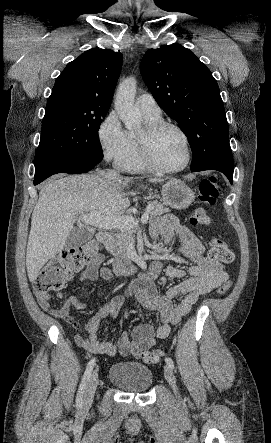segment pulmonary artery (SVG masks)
Returning <instances> with one entry per match:
<instances>
[{"instance_id":"1","label":"pulmonary artery","mask_w":271,"mask_h":443,"mask_svg":"<svg viewBox=\"0 0 271 443\" xmlns=\"http://www.w3.org/2000/svg\"><path fill=\"white\" fill-rule=\"evenodd\" d=\"M137 104L144 116H159L161 109L154 97L150 93H143L138 96Z\"/></svg>"}]
</instances>
